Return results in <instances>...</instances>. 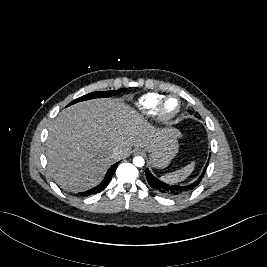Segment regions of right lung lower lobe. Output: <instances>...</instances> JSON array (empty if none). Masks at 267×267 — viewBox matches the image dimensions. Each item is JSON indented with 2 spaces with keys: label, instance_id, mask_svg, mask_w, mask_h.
<instances>
[{
  "label": "right lung lower lobe",
  "instance_id": "98d812e1",
  "mask_svg": "<svg viewBox=\"0 0 267 267\" xmlns=\"http://www.w3.org/2000/svg\"><path fill=\"white\" fill-rule=\"evenodd\" d=\"M117 164L118 163H115L114 165H112L108 169L104 179L102 180V182L99 185H97L96 187H94V188H92V189H90L88 191L82 192L81 193L82 196H89V195H92V194H96V193H99L100 191H102L104 188H106V186L111 181V178H112V176H113V174H114V172H115V170L117 168Z\"/></svg>",
  "mask_w": 267,
  "mask_h": 267
}]
</instances>
